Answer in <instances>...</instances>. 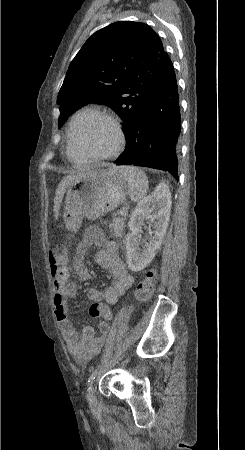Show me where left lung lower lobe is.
<instances>
[{"mask_svg": "<svg viewBox=\"0 0 245 450\" xmlns=\"http://www.w3.org/2000/svg\"><path fill=\"white\" fill-rule=\"evenodd\" d=\"M180 124L178 86L170 60L134 122L125 152L114 163L168 171L178 180Z\"/></svg>", "mask_w": 245, "mask_h": 450, "instance_id": "1", "label": "left lung lower lobe"}]
</instances>
